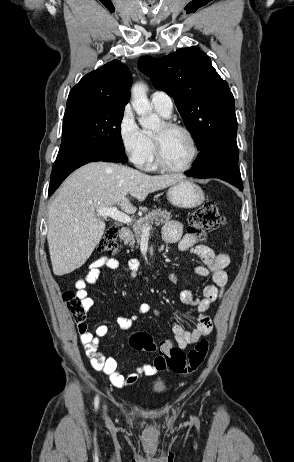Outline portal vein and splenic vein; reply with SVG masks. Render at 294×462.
I'll list each match as a JSON object with an SVG mask.
<instances>
[{"instance_id":"portal-vein-and-splenic-vein-1","label":"portal vein and splenic vein","mask_w":294,"mask_h":462,"mask_svg":"<svg viewBox=\"0 0 294 462\" xmlns=\"http://www.w3.org/2000/svg\"><path fill=\"white\" fill-rule=\"evenodd\" d=\"M98 216H101L103 218H112L113 220L125 224H130L132 223V218L128 216L127 214L119 211L117 207H111V208H100L97 210ZM150 227L143 228V235L148 236L150 232Z\"/></svg>"}]
</instances>
